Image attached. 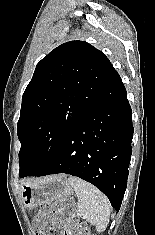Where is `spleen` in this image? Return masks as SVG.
I'll list each match as a JSON object with an SVG mask.
<instances>
[{
	"mask_svg": "<svg viewBox=\"0 0 155 235\" xmlns=\"http://www.w3.org/2000/svg\"><path fill=\"white\" fill-rule=\"evenodd\" d=\"M68 183L78 197V215L103 232L110 218V203L107 197L92 184L76 177H69Z\"/></svg>",
	"mask_w": 155,
	"mask_h": 235,
	"instance_id": "obj_1",
	"label": "spleen"
}]
</instances>
